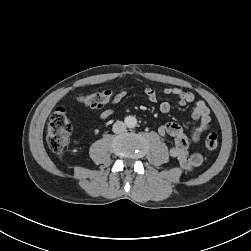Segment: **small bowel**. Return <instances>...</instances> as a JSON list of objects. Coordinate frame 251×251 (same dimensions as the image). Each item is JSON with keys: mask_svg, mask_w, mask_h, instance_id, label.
<instances>
[{"mask_svg": "<svg viewBox=\"0 0 251 251\" xmlns=\"http://www.w3.org/2000/svg\"><path fill=\"white\" fill-rule=\"evenodd\" d=\"M145 95L151 103H156L158 101L157 91L151 87H146ZM165 95L175 96L181 106H185L189 103L194 102L195 96L192 92L185 91L178 87H168L163 90ZM127 92L124 89L119 90L111 100V104L119 103L125 96ZM159 110L162 113H168L171 110V105L167 101H163L159 104ZM114 111L111 108L103 110L100 114L102 120H109ZM192 117L198 120V124L192 130L191 141L193 143H198L202 135L210 128L211 115L210 109L206 103L199 100L195 103ZM158 133L165 138H171L172 146L170 148V155L172 158L176 159L179 165L186 171H192L194 168L199 167L203 162V157L200 153H189L188 151V139L184 135L182 128L173 122L161 125L158 128Z\"/></svg>", "mask_w": 251, "mask_h": 251, "instance_id": "small-bowel-1", "label": "small bowel"}]
</instances>
